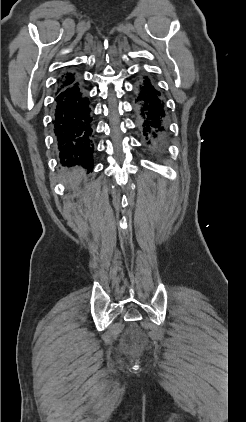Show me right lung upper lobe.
<instances>
[{"instance_id":"right-lung-upper-lobe-1","label":"right lung upper lobe","mask_w":246,"mask_h":422,"mask_svg":"<svg viewBox=\"0 0 246 422\" xmlns=\"http://www.w3.org/2000/svg\"><path fill=\"white\" fill-rule=\"evenodd\" d=\"M76 79H77V75L75 73L66 72L62 75L59 85H66V84L72 83Z\"/></svg>"}]
</instances>
